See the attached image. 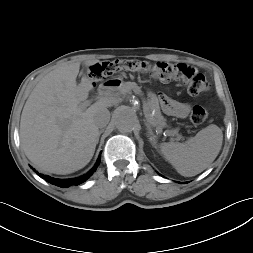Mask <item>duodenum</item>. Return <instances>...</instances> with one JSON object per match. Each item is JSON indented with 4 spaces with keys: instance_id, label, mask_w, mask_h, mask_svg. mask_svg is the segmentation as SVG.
I'll return each mask as SVG.
<instances>
[{
    "instance_id": "duodenum-1",
    "label": "duodenum",
    "mask_w": 253,
    "mask_h": 253,
    "mask_svg": "<svg viewBox=\"0 0 253 253\" xmlns=\"http://www.w3.org/2000/svg\"><path fill=\"white\" fill-rule=\"evenodd\" d=\"M117 84L115 83V81H108L105 82L103 84H101L98 88V93L99 94H104L107 91H109L112 87L116 86Z\"/></svg>"
}]
</instances>
